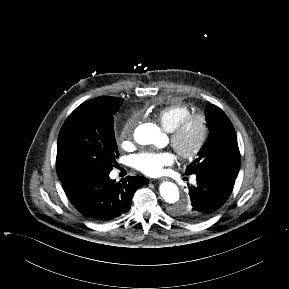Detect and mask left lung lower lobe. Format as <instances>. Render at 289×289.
<instances>
[{"mask_svg":"<svg viewBox=\"0 0 289 289\" xmlns=\"http://www.w3.org/2000/svg\"><path fill=\"white\" fill-rule=\"evenodd\" d=\"M196 175V185L188 186L190 200L181 215L191 222L202 221L213 215L229 198L235 177L221 172H203Z\"/></svg>","mask_w":289,"mask_h":289,"instance_id":"0a47b994","label":"left lung lower lobe"}]
</instances>
